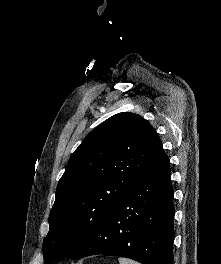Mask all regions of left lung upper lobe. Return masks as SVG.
Segmentation results:
<instances>
[{
    "label": "left lung upper lobe",
    "mask_w": 221,
    "mask_h": 264,
    "mask_svg": "<svg viewBox=\"0 0 221 264\" xmlns=\"http://www.w3.org/2000/svg\"><path fill=\"white\" fill-rule=\"evenodd\" d=\"M163 154L154 128L133 113H118L91 131L58 183L43 241L44 264L82 245Z\"/></svg>",
    "instance_id": "1"
}]
</instances>
